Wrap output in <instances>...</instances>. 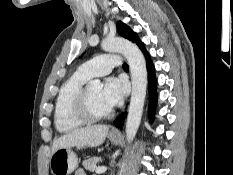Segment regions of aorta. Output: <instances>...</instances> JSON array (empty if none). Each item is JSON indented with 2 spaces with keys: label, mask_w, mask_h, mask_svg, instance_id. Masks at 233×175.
<instances>
[{
  "label": "aorta",
  "mask_w": 233,
  "mask_h": 175,
  "mask_svg": "<svg viewBox=\"0 0 233 175\" xmlns=\"http://www.w3.org/2000/svg\"><path fill=\"white\" fill-rule=\"evenodd\" d=\"M102 49L106 52H118L123 54L129 64L132 79V94L130 99L128 117L126 121V139L132 142L140 125L143 113V106L147 88V71L144 56L140 49L132 42L123 38L106 39L101 43ZM89 87L99 89L101 84L98 80L89 82ZM125 164L119 171L122 175Z\"/></svg>",
  "instance_id": "aorta-1"
}]
</instances>
